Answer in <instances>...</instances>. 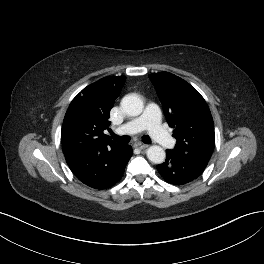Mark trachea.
Here are the masks:
<instances>
[{
	"label": "trachea",
	"mask_w": 264,
	"mask_h": 264,
	"mask_svg": "<svg viewBox=\"0 0 264 264\" xmlns=\"http://www.w3.org/2000/svg\"><path fill=\"white\" fill-rule=\"evenodd\" d=\"M111 137L116 140L117 142L120 143H128L130 141V137L129 136H117L115 134H111ZM142 141L144 143L150 144L151 143V139L148 136H143L142 137Z\"/></svg>",
	"instance_id": "1"
}]
</instances>
